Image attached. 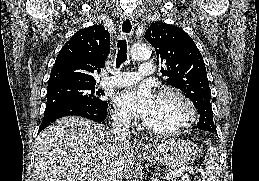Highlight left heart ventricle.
Masks as SVG:
<instances>
[{
	"mask_svg": "<svg viewBox=\"0 0 259 181\" xmlns=\"http://www.w3.org/2000/svg\"><path fill=\"white\" fill-rule=\"evenodd\" d=\"M185 118L181 102L171 95L156 97L154 110L145 123L154 128H171L179 125Z\"/></svg>",
	"mask_w": 259,
	"mask_h": 181,
	"instance_id": "b2bd125f",
	"label": "left heart ventricle"
}]
</instances>
